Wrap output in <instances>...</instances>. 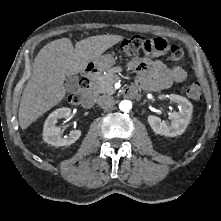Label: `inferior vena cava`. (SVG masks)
Returning a JSON list of instances; mask_svg holds the SVG:
<instances>
[{
  "label": "inferior vena cava",
  "instance_id": "obj_1",
  "mask_svg": "<svg viewBox=\"0 0 221 221\" xmlns=\"http://www.w3.org/2000/svg\"><path fill=\"white\" fill-rule=\"evenodd\" d=\"M97 104L103 109H110L114 106V98L110 95H102L97 99Z\"/></svg>",
  "mask_w": 221,
  "mask_h": 221
}]
</instances>
